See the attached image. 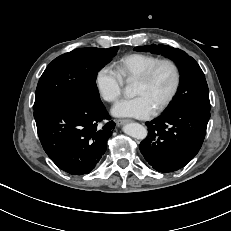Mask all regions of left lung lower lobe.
Returning <instances> with one entry per match:
<instances>
[{
    "instance_id": "0a47b994",
    "label": "left lung lower lobe",
    "mask_w": 231,
    "mask_h": 231,
    "mask_svg": "<svg viewBox=\"0 0 231 231\" xmlns=\"http://www.w3.org/2000/svg\"><path fill=\"white\" fill-rule=\"evenodd\" d=\"M210 118V111L179 108L163 112L147 122L148 136L139 149L145 160L159 172H173L184 167L200 150Z\"/></svg>"
}]
</instances>
